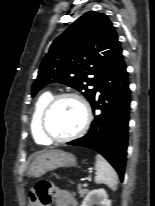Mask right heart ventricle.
Here are the masks:
<instances>
[{
	"label": "right heart ventricle",
	"instance_id": "e07e8e85",
	"mask_svg": "<svg viewBox=\"0 0 155 206\" xmlns=\"http://www.w3.org/2000/svg\"><path fill=\"white\" fill-rule=\"evenodd\" d=\"M53 97L50 91L42 93L33 108L32 119H31V132L36 143L40 145H48L50 142L43 136L40 129V117L43 109Z\"/></svg>",
	"mask_w": 155,
	"mask_h": 206
}]
</instances>
